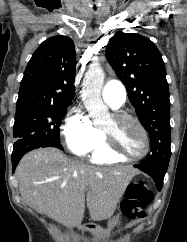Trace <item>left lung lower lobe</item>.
<instances>
[{"label":"left lung lower lobe","mask_w":187,"mask_h":242,"mask_svg":"<svg viewBox=\"0 0 187 242\" xmlns=\"http://www.w3.org/2000/svg\"><path fill=\"white\" fill-rule=\"evenodd\" d=\"M134 167L150 175L155 181L158 190L160 191L162 189L163 179L168 167L144 164H138Z\"/></svg>","instance_id":"0a47b994"}]
</instances>
